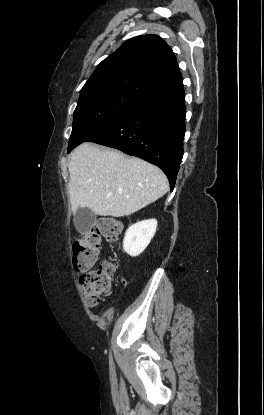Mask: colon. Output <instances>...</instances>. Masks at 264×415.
<instances>
[{
  "label": "colon",
  "mask_w": 264,
  "mask_h": 415,
  "mask_svg": "<svg viewBox=\"0 0 264 415\" xmlns=\"http://www.w3.org/2000/svg\"><path fill=\"white\" fill-rule=\"evenodd\" d=\"M121 230L118 219L104 217L73 244V268L79 273L78 283L87 307H97L110 293L116 265L111 260L96 263L103 240L115 242Z\"/></svg>",
  "instance_id": "1"
}]
</instances>
